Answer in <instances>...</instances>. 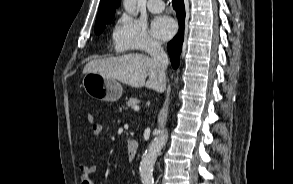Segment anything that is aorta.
<instances>
[{"label":"aorta","mask_w":293,"mask_h":184,"mask_svg":"<svg viewBox=\"0 0 293 184\" xmlns=\"http://www.w3.org/2000/svg\"><path fill=\"white\" fill-rule=\"evenodd\" d=\"M124 9L131 15H137L136 0H123ZM168 139L167 130L159 132V135L153 139L144 153L139 171L143 184H153V167L160 154L162 148L165 146Z\"/></svg>","instance_id":"aorta-1"}]
</instances>
